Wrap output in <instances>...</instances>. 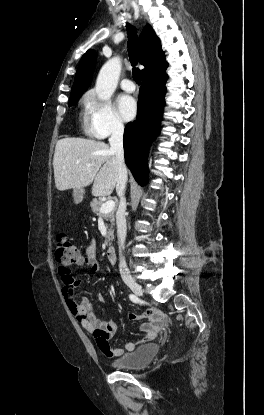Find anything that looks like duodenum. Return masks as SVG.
Returning <instances> with one entry per match:
<instances>
[{
    "label": "duodenum",
    "instance_id": "410a0bca",
    "mask_svg": "<svg viewBox=\"0 0 264 415\" xmlns=\"http://www.w3.org/2000/svg\"><path fill=\"white\" fill-rule=\"evenodd\" d=\"M106 258H107V262L110 265H114L115 261H116V252H115V247L114 245H109L107 248V253H106Z\"/></svg>",
    "mask_w": 264,
    "mask_h": 415
}]
</instances>
